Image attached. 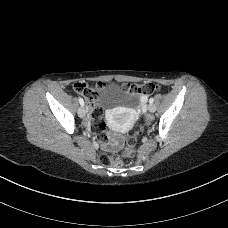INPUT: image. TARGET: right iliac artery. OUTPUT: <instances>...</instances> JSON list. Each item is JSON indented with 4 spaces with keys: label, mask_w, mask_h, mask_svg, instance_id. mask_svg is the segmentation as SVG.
<instances>
[{
    "label": "right iliac artery",
    "mask_w": 228,
    "mask_h": 228,
    "mask_svg": "<svg viewBox=\"0 0 228 228\" xmlns=\"http://www.w3.org/2000/svg\"><path fill=\"white\" fill-rule=\"evenodd\" d=\"M79 103H80L81 106H84V101H83L82 98H79Z\"/></svg>",
    "instance_id": "82829eb1"
}]
</instances>
